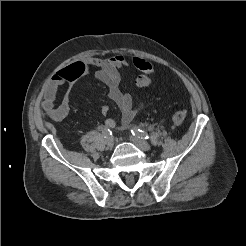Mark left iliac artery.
<instances>
[{
	"label": "left iliac artery",
	"instance_id": "44dca946",
	"mask_svg": "<svg viewBox=\"0 0 246 246\" xmlns=\"http://www.w3.org/2000/svg\"><path fill=\"white\" fill-rule=\"evenodd\" d=\"M131 133L134 135V136H138L142 139H149V135L147 132L137 128V127H133L131 129Z\"/></svg>",
	"mask_w": 246,
	"mask_h": 246
}]
</instances>
